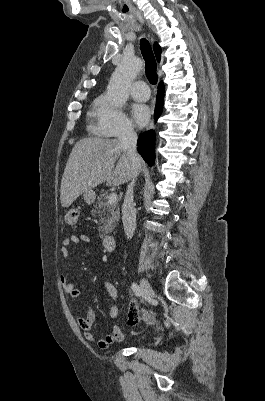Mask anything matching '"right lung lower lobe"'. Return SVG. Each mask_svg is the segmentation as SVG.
<instances>
[{"instance_id": "right-lung-lower-lobe-1", "label": "right lung lower lobe", "mask_w": 265, "mask_h": 401, "mask_svg": "<svg viewBox=\"0 0 265 401\" xmlns=\"http://www.w3.org/2000/svg\"><path fill=\"white\" fill-rule=\"evenodd\" d=\"M163 96H164V86L162 83L158 86L157 100H156V110L155 119L162 113L163 107ZM155 132L153 130L146 131L140 135L137 145L138 152L143 157V159L152 166L154 163V143H155Z\"/></svg>"}]
</instances>
